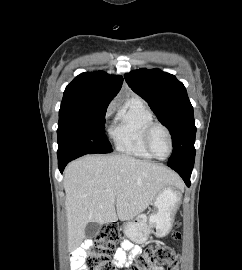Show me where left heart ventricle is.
Returning <instances> with one entry per match:
<instances>
[{"label": "left heart ventricle", "instance_id": "b2bd125f", "mask_svg": "<svg viewBox=\"0 0 242 270\" xmlns=\"http://www.w3.org/2000/svg\"><path fill=\"white\" fill-rule=\"evenodd\" d=\"M154 153L159 157H165L169 153L170 144L166 132L162 128H155L150 139Z\"/></svg>", "mask_w": 242, "mask_h": 270}]
</instances>
